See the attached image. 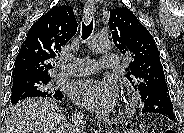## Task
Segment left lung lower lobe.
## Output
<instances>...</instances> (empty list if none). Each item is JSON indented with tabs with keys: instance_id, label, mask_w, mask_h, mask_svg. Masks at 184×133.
<instances>
[{
	"instance_id": "left-lung-lower-lobe-1",
	"label": "left lung lower lobe",
	"mask_w": 184,
	"mask_h": 133,
	"mask_svg": "<svg viewBox=\"0 0 184 133\" xmlns=\"http://www.w3.org/2000/svg\"><path fill=\"white\" fill-rule=\"evenodd\" d=\"M160 95L162 99L156 101V96ZM144 107L142 113H159L169 119L175 121V115L173 113V104L170 100V96L166 91H156L149 94L146 100L143 101Z\"/></svg>"
}]
</instances>
